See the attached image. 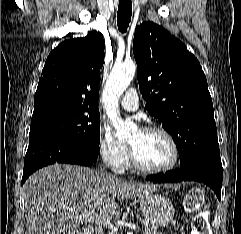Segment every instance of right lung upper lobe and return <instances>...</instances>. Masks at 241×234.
Returning a JSON list of instances; mask_svg holds the SVG:
<instances>
[{
    "label": "right lung upper lobe",
    "instance_id": "1",
    "mask_svg": "<svg viewBox=\"0 0 241 234\" xmlns=\"http://www.w3.org/2000/svg\"><path fill=\"white\" fill-rule=\"evenodd\" d=\"M104 49L103 35L96 31L59 44L47 57L34 106L69 103L97 107Z\"/></svg>",
    "mask_w": 241,
    "mask_h": 234
}]
</instances>
